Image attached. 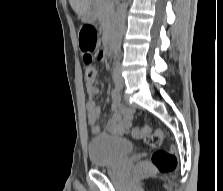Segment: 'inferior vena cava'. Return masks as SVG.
I'll list each match as a JSON object with an SVG mask.
<instances>
[{"label": "inferior vena cava", "mask_w": 223, "mask_h": 191, "mask_svg": "<svg viewBox=\"0 0 223 191\" xmlns=\"http://www.w3.org/2000/svg\"><path fill=\"white\" fill-rule=\"evenodd\" d=\"M119 67V63L116 64V69Z\"/></svg>", "instance_id": "1"}]
</instances>
